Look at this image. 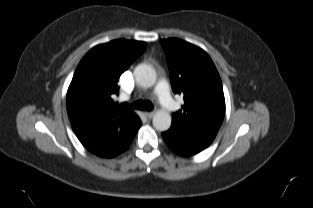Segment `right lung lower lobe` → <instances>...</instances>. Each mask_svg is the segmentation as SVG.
<instances>
[{
	"instance_id": "right-lung-lower-lobe-1",
	"label": "right lung lower lobe",
	"mask_w": 313,
	"mask_h": 208,
	"mask_svg": "<svg viewBox=\"0 0 313 208\" xmlns=\"http://www.w3.org/2000/svg\"><path fill=\"white\" fill-rule=\"evenodd\" d=\"M142 122L138 116L129 126L109 121L98 126L72 127L83 146L91 153L105 158L126 151Z\"/></svg>"
}]
</instances>
